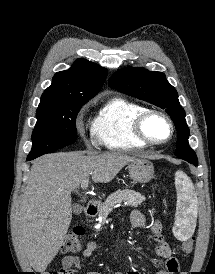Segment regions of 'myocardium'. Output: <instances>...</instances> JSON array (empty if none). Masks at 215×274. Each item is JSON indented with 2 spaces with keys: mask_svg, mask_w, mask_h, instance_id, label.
I'll list each match as a JSON object with an SVG mask.
<instances>
[{
  "mask_svg": "<svg viewBox=\"0 0 215 274\" xmlns=\"http://www.w3.org/2000/svg\"><path fill=\"white\" fill-rule=\"evenodd\" d=\"M152 116H160L168 123L169 128H170V134L167 139H165L163 141H155V140H152L147 135V133L145 131V125H146L147 121L149 120V118ZM133 130H134L135 136L140 141L144 142L146 145L162 146L172 140V138L174 136V132H175V127H174V123H173L171 117L168 114H166L165 112H163L161 110H156V109H146L141 114H139L137 116V118L135 119L134 124H133Z\"/></svg>",
  "mask_w": 215,
  "mask_h": 274,
  "instance_id": "f54148a6",
  "label": "myocardium"
}]
</instances>
